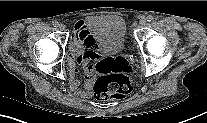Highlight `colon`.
Listing matches in <instances>:
<instances>
[{"mask_svg":"<svg viewBox=\"0 0 207 123\" xmlns=\"http://www.w3.org/2000/svg\"><path fill=\"white\" fill-rule=\"evenodd\" d=\"M95 70L99 74L93 85L97 99H122L131 92L135 73L126 58H100L95 64Z\"/></svg>","mask_w":207,"mask_h":123,"instance_id":"colon-1","label":"colon"}]
</instances>
